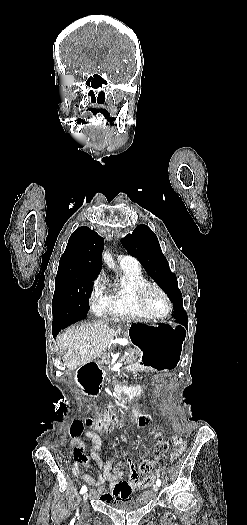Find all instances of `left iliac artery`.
<instances>
[{
	"instance_id": "44dca946",
	"label": "left iliac artery",
	"mask_w": 247,
	"mask_h": 525,
	"mask_svg": "<svg viewBox=\"0 0 247 525\" xmlns=\"http://www.w3.org/2000/svg\"><path fill=\"white\" fill-rule=\"evenodd\" d=\"M156 485H157V486H161V480H160V479H157V481H156Z\"/></svg>"
}]
</instances>
